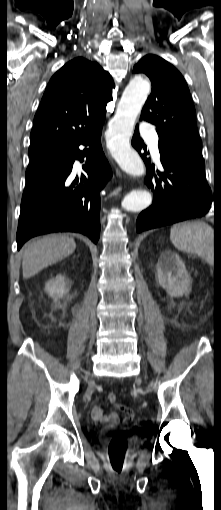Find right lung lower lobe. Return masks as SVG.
Returning a JSON list of instances; mask_svg holds the SVG:
<instances>
[{"label":"right lung lower lobe","mask_w":221,"mask_h":510,"mask_svg":"<svg viewBox=\"0 0 221 510\" xmlns=\"http://www.w3.org/2000/svg\"><path fill=\"white\" fill-rule=\"evenodd\" d=\"M102 124L56 153L30 162L17 229L18 249L30 238L51 232H78L97 243L100 190L111 177L101 146ZM80 145L86 148L80 150ZM75 160L86 161L83 173L75 174Z\"/></svg>","instance_id":"1"}]
</instances>
